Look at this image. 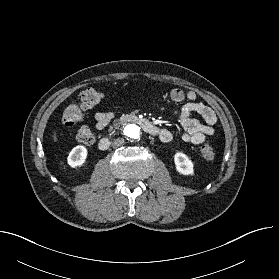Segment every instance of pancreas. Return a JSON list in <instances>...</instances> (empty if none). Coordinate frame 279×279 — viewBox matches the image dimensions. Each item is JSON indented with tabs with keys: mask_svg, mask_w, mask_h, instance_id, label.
Instances as JSON below:
<instances>
[{
	"mask_svg": "<svg viewBox=\"0 0 279 279\" xmlns=\"http://www.w3.org/2000/svg\"><path fill=\"white\" fill-rule=\"evenodd\" d=\"M113 130V127H110L109 131H112Z\"/></svg>",
	"mask_w": 279,
	"mask_h": 279,
	"instance_id": "1",
	"label": "pancreas"
}]
</instances>
